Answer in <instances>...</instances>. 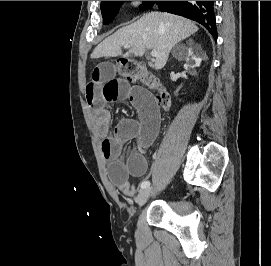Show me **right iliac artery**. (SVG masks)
<instances>
[{"instance_id": "right-iliac-artery-1", "label": "right iliac artery", "mask_w": 271, "mask_h": 266, "mask_svg": "<svg viewBox=\"0 0 271 266\" xmlns=\"http://www.w3.org/2000/svg\"><path fill=\"white\" fill-rule=\"evenodd\" d=\"M150 186V182L149 181H143L141 184H140V187L142 189H146V188H149Z\"/></svg>"}]
</instances>
